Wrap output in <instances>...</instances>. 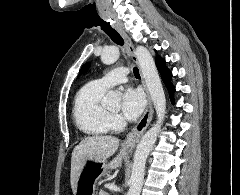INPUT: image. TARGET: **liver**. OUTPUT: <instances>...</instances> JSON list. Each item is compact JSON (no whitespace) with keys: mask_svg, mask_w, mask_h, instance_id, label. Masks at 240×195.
I'll list each match as a JSON object with an SVG mask.
<instances>
[{"mask_svg":"<svg viewBox=\"0 0 240 195\" xmlns=\"http://www.w3.org/2000/svg\"><path fill=\"white\" fill-rule=\"evenodd\" d=\"M120 139L114 135H92V137H84L78 145H75L71 157V173L70 181L73 193L76 191V183L84 169L87 161H100L113 155L118 149ZM126 147L120 149L117 157H114L108 163L107 169H116L121 167L122 159L126 153Z\"/></svg>","mask_w":240,"mask_h":195,"instance_id":"liver-1","label":"liver"}]
</instances>
